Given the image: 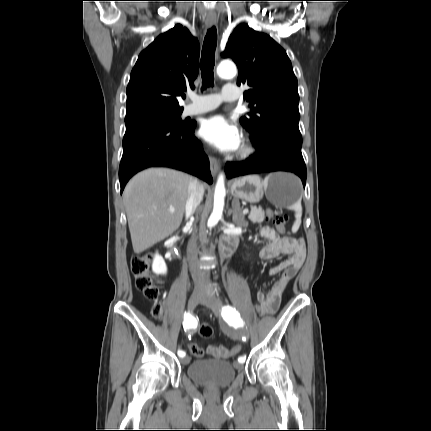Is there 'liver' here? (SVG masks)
I'll return each instance as SVG.
<instances>
[{"mask_svg": "<svg viewBox=\"0 0 431 431\" xmlns=\"http://www.w3.org/2000/svg\"><path fill=\"white\" fill-rule=\"evenodd\" d=\"M190 176L167 168L135 175L123 193L133 250L140 254L172 235L182 222ZM170 208L175 211L171 213Z\"/></svg>", "mask_w": 431, "mask_h": 431, "instance_id": "6515ba94", "label": "liver"}]
</instances>
